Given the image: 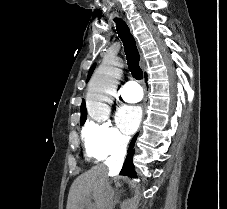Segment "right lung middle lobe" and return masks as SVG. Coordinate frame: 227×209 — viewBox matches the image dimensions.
I'll use <instances>...</instances> for the list:
<instances>
[{"label": "right lung middle lobe", "instance_id": "dd1d6c3e", "mask_svg": "<svg viewBox=\"0 0 227 209\" xmlns=\"http://www.w3.org/2000/svg\"><path fill=\"white\" fill-rule=\"evenodd\" d=\"M85 120H86V119H81V120H80V125H81V126L85 123Z\"/></svg>", "mask_w": 227, "mask_h": 209}]
</instances>
